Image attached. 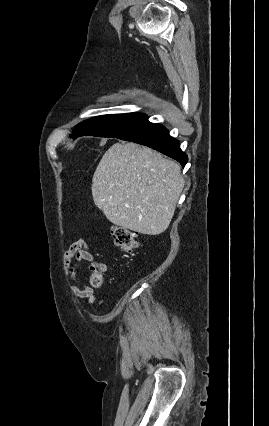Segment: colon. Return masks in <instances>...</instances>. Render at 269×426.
Returning a JSON list of instances; mask_svg holds the SVG:
<instances>
[{
  "instance_id": "5ec220e1",
  "label": "colon",
  "mask_w": 269,
  "mask_h": 426,
  "mask_svg": "<svg viewBox=\"0 0 269 426\" xmlns=\"http://www.w3.org/2000/svg\"><path fill=\"white\" fill-rule=\"evenodd\" d=\"M111 236L114 244L123 251H131L139 245L136 233L121 226H114ZM104 271L105 266L102 263H94L90 267V281L94 287L102 285Z\"/></svg>"
}]
</instances>
